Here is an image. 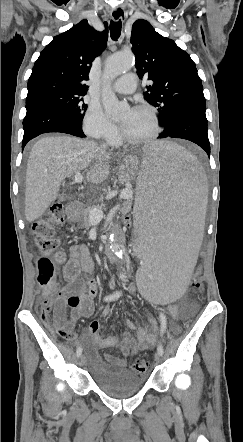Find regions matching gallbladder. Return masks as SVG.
<instances>
[{
	"label": "gallbladder",
	"mask_w": 243,
	"mask_h": 442,
	"mask_svg": "<svg viewBox=\"0 0 243 442\" xmlns=\"http://www.w3.org/2000/svg\"><path fill=\"white\" fill-rule=\"evenodd\" d=\"M58 198L60 201H64L67 199V194L65 192H63L58 196Z\"/></svg>",
	"instance_id": "gallbladder-1"
}]
</instances>
